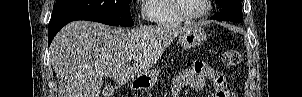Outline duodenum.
Returning <instances> with one entry per match:
<instances>
[{
  "label": "duodenum",
  "instance_id": "410a0bca",
  "mask_svg": "<svg viewBox=\"0 0 302 97\" xmlns=\"http://www.w3.org/2000/svg\"><path fill=\"white\" fill-rule=\"evenodd\" d=\"M143 85H144L143 81L140 78H138L132 82L131 88L133 90H139Z\"/></svg>",
  "mask_w": 302,
  "mask_h": 97
}]
</instances>
